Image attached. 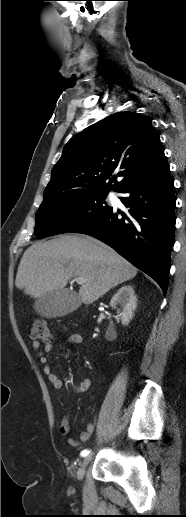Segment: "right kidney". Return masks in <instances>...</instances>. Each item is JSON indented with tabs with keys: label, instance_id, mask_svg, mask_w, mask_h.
<instances>
[{
	"label": "right kidney",
	"instance_id": "obj_1",
	"mask_svg": "<svg viewBox=\"0 0 186 517\" xmlns=\"http://www.w3.org/2000/svg\"><path fill=\"white\" fill-rule=\"evenodd\" d=\"M110 305L113 308L120 306L119 309L117 308V313L121 318L122 325H128L137 306L134 288L131 285L121 287L112 297Z\"/></svg>",
	"mask_w": 186,
	"mask_h": 517
}]
</instances>
